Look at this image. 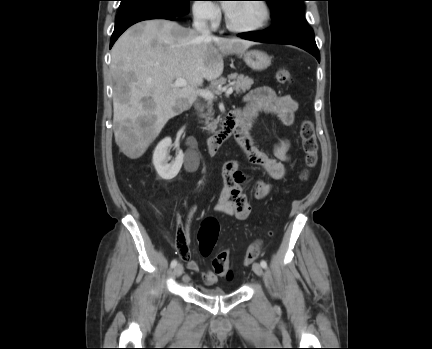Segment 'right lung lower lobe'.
<instances>
[{
  "label": "right lung lower lobe",
  "mask_w": 432,
  "mask_h": 349,
  "mask_svg": "<svg viewBox=\"0 0 432 349\" xmlns=\"http://www.w3.org/2000/svg\"><path fill=\"white\" fill-rule=\"evenodd\" d=\"M181 16L183 15L156 6H141L121 12L116 17L115 28L110 41V48L128 27L137 22L150 19H167L173 21L178 20Z\"/></svg>",
  "instance_id": "right-lung-lower-lobe-1"
}]
</instances>
